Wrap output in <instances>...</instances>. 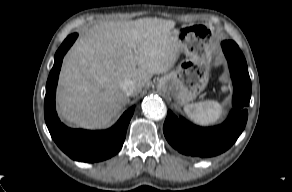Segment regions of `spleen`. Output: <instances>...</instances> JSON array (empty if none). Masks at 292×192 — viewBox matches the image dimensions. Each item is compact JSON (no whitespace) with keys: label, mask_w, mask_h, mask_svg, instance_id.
Listing matches in <instances>:
<instances>
[{"label":"spleen","mask_w":292,"mask_h":192,"mask_svg":"<svg viewBox=\"0 0 292 192\" xmlns=\"http://www.w3.org/2000/svg\"><path fill=\"white\" fill-rule=\"evenodd\" d=\"M222 90H227L226 86ZM184 112L197 124L205 125L216 122L223 113L222 105L213 100H206L197 103L186 104Z\"/></svg>","instance_id":"1"}]
</instances>
